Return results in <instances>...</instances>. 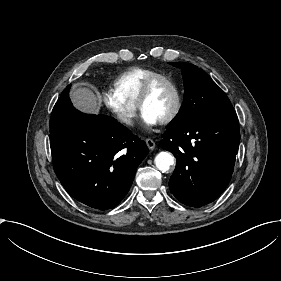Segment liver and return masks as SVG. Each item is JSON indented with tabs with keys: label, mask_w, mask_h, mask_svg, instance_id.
I'll use <instances>...</instances> for the list:
<instances>
[{
	"label": "liver",
	"mask_w": 281,
	"mask_h": 281,
	"mask_svg": "<svg viewBox=\"0 0 281 281\" xmlns=\"http://www.w3.org/2000/svg\"><path fill=\"white\" fill-rule=\"evenodd\" d=\"M69 98L73 107L81 113L99 115L101 105L97 94L88 86H73L69 91Z\"/></svg>",
	"instance_id": "liver-1"
}]
</instances>
